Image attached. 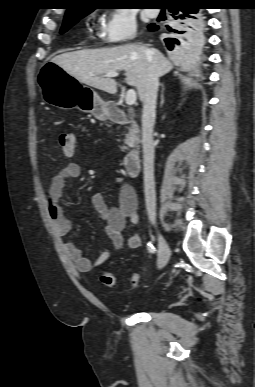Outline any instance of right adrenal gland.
I'll return each instance as SVG.
<instances>
[{"mask_svg":"<svg viewBox=\"0 0 255 387\" xmlns=\"http://www.w3.org/2000/svg\"><path fill=\"white\" fill-rule=\"evenodd\" d=\"M160 86H161L160 106L162 107L163 104H164V101H165V98H164V84L162 83V84H160Z\"/></svg>","mask_w":255,"mask_h":387,"instance_id":"2a0ac1e0","label":"right adrenal gland"}]
</instances>
